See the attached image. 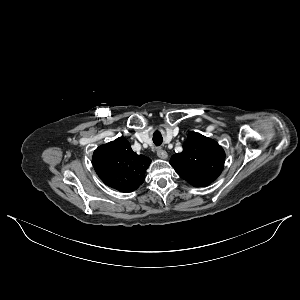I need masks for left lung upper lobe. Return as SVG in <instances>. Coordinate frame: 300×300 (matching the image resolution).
<instances>
[{"instance_id":"5c2ea615","label":"left lung upper lobe","mask_w":300,"mask_h":300,"mask_svg":"<svg viewBox=\"0 0 300 300\" xmlns=\"http://www.w3.org/2000/svg\"><path fill=\"white\" fill-rule=\"evenodd\" d=\"M225 152L214 140L189 132L183 151L170 159L177 174L196 187L207 186L221 174Z\"/></svg>"}]
</instances>
